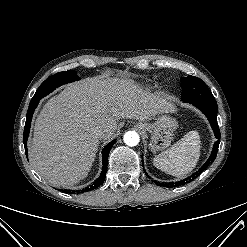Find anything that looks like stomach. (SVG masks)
I'll return each instance as SVG.
<instances>
[{
    "label": "stomach",
    "mask_w": 247,
    "mask_h": 247,
    "mask_svg": "<svg viewBox=\"0 0 247 247\" xmlns=\"http://www.w3.org/2000/svg\"><path fill=\"white\" fill-rule=\"evenodd\" d=\"M137 128L148 131L151 134L150 149L153 152L168 148L171 144L173 133L177 129L176 120L167 115H161L156 118L153 124L139 122Z\"/></svg>",
    "instance_id": "1"
}]
</instances>
